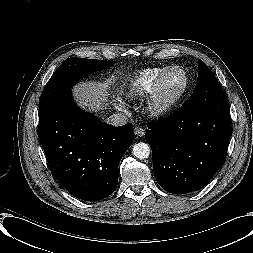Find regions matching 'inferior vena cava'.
Here are the masks:
<instances>
[{
  "label": "inferior vena cava",
  "mask_w": 253,
  "mask_h": 253,
  "mask_svg": "<svg viewBox=\"0 0 253 253\" xmlns=\"http://www.w3.org/2000/svg\"><path fill=\"white\" fill-rule=\"evenodd\" d=\"M128 122V118L122 113L112 114L107 119V123L112 126H122Z\"/></svg>",
  "instance_id": "602c4592"
}]
</instances>
